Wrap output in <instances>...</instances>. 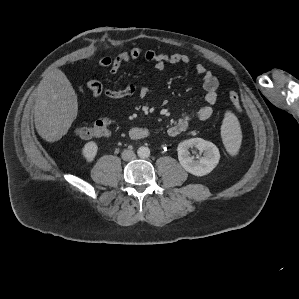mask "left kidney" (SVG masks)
<instances>
[{
    "mask_svg": "<svg viewBox=\"0 0 299 299\" xmlns=\"http://www.w3.org/2000/svg\"><path fill=\"white\" fill-rule=\"evenodd\" d=\"M190 148L198 149L200 153H203V157H198L199 159L195 160L189 153ZM177 151L181 166L195 176H204L210 173L220 159L216 145L202 138H192L179 143Z\"/></svg>",
    "mask_w": 299,
    "mask_h": 299,
    "instance_id": "5707ae66",
    "label": "left kidney"
}]
</instances>
